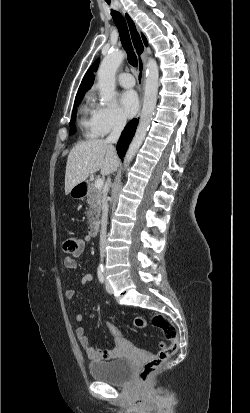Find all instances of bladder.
<instances>
[{"mask_svg":"<svg viewBox=\"0 0 250 413\" xmlns=\"http://www.w3.org/2000/svg\"><path fill=\"white\" fill-rule=\"evenodd\" d=\"M133 361L128 357H119L111 361L92 362L89 372L93 379L111 385L126 383L133 371Z\"/></svg>","mask_w":250,"mask_h":413,"instance_id":"obj_1","label":"bladder"}]
</instances>
